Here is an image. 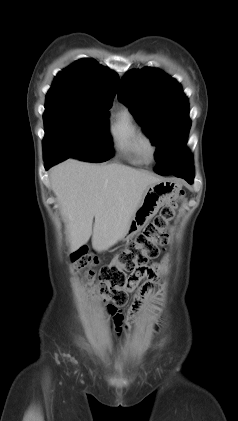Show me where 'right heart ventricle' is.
Returning a JSON list of instances; mask_svg holds the SVG:
<instances>
[{
	"instance_id": "right-heart-ventricle-1",
	"label": "right heart ventricle",
	"mask_w": 238,
	"mask_h": 421,
	"mask_svg": "<svg viewBox=\"0 0 238 421\" xmlns=\"http://www.w3.org/2000/svg\"><path fill=\"white\" fill-rule=\"evenodd\" d=\"M117 149L136 164H144L147 158L142 149L143 133L134 115L128 109L116 113L109 129Z\"/></svg>"
}]
</instances>
